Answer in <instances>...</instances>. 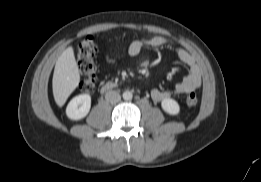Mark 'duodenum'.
<instances>
[{
    "label": "duodenum",
    "instance_id": "1",
    "mask_svg": "<svg viewBox=\"0 0 261 182\" xmlns=\"http://www.w3.org/2000/svg\"><path fill=\"white\" fill-rule=\"evenodd\" d=\"M114 87H115V84L112 82L104 83L100 88V93L104 94V93L110 91L111 89H113Z\"/></svg>",
    "mask_w": 261,
    "mask_h": 182
}]
</instances>
